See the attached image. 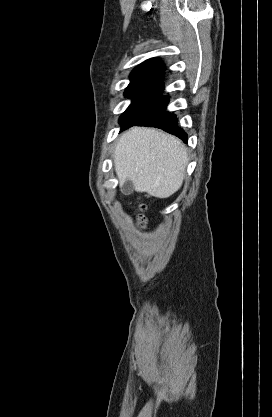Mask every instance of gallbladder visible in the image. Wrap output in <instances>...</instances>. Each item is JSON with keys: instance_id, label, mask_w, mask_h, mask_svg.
<instances>
[{"instance_id": "gallbladder-1", "label": "gallbladder", "mask_w": 272, "mask_h": 417, "mask_svg": "<svg viewBox=\"0 0 272 417\" xmlns=\"http://www.w3.org/2000/svg\"><path fill=\"white\" fill-rule=\"evenodd\" d=\"M134 189L133 182L131 180H126L122 185L121 191L124 194H130Z\"/></svg>"}]
</instances>
